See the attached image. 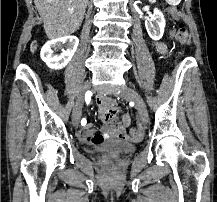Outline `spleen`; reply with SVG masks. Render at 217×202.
<instances>
[{"mask_svg": "<svg viewBox=\"0 0 217 202\" xmlns=\"http://www.w3.org/2000/svg\"><path fill=\"white\" fill-rule=\"evenodd\" d=\"M166 5H179V0H166Z\"/></svg>", "mask_w": 217, "mask_h": 202, "instance_id": "spleen-1", "label": "spleen"}]
</instances>
